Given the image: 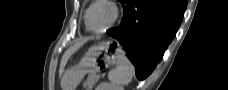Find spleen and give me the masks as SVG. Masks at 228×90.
<instances>
[{"instance_id":"3e777b00","label":"spleen","mask_w":228,"mask_h":90,"mask_svg":"<svg viewBox=\"0 0 228 90\" xmlns=\"http://www.w3.org/2000/svg\"><path fill=\"white\" fill-rule=\"evenodd\" d=\"M134 72V66L125 56V52L119 49L116 56V67L108 73L109 81L113 85L129 84L133 78Z\"/></svg>"}]
</instances>
